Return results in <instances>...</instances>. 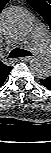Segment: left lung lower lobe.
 <instances>
[{"instance_id": "left-lung-lower-lobe-1", "label": "left lung lower lobe", "mask_w": 51, "mask_h": 153, "mask_svg": "<svg viewBox=\"0 0 51 153\" xmlns=\"http://www.w3.org/2000/svg\"><path fill=\"white\" fill-rule=\"evenodd\" d=\"M41 84L43 86H45L47 89H51V76H49L48 78L46 79H41L40 80Z\"/></svg>"}]
</instances>
